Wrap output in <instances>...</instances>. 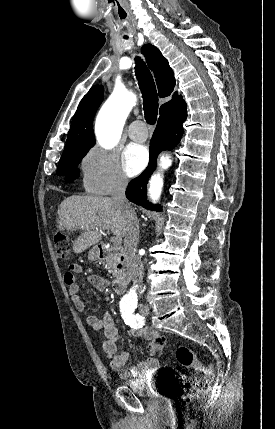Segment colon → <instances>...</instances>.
Returning <instances> with one entry per match:
<instances>
[{
  "instance_id": "obj_1",
  "label": "colon",
  "mask_w": 275,
  "mask_h": 429,
  "mask_svg": "<svg viewBox=\"0 0 275 429\" xmlns=\"http://www.w3.org/2000/svg\"><path fill=\"white\" fill-rule=\"evenodd\" d=\"M54 249L57 256L61 259L70 257V245L67 237L62 233H56L54 236ZM155 351L162 350L165 345V338L156 342ZM176 358L179 364L187 370H191L193 375L183 376L180 388L183 391L180 401L184 405L195 403L202 399L210 389L213 381V370L205 366L196 356V354L186 346H179L176 350ZM199 374L204 375L201 380Z\"/></svg>"
}]
</instances>
